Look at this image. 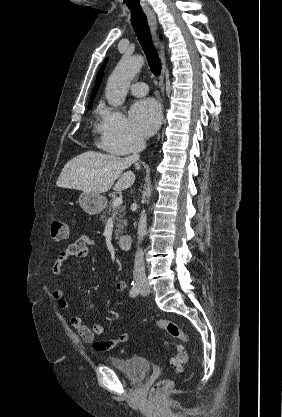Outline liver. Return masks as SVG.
Instances as JSON below:
<instances>
[{
    "mask_svg": "<svg viewBox=\"0 0 282 417\" xmlns=\"http://www.w3.org/2000/svg\"><path fill=\"white\" fill-rule=\"evenodd\" d=\"M128 158H120L114 154H102L95 150H87L66 162L57 180V186L77 188L84 192H107L117 180L113 190H125L133 184L135 174L125 168L130 166ZM123 172V174H122ZM120 176V178H119Z\"/></svg>",
    "mask_w": 282,
    "mask_h": 417,
    "instance_id": "1",
    "label": "liver"
}]
</instances>
